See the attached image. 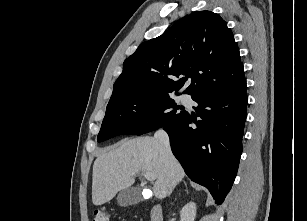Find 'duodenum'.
<instances>
[{"label": "duodenum", "instance_id": "duodenum-1", "mask_svg": "<svg viewBox=\"0 0 307 221\" xmlns=\"http://www.w3.org/2000/svg\"><path fill=\"white\" fill-rule=\"evenodd\" d=\"M151 221H163V213L160 205H155L150 214Z\"/></svg>", "mask_w": 307, "mask_h": 221}]
</instances>
